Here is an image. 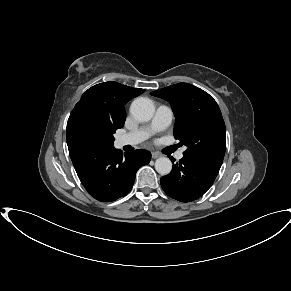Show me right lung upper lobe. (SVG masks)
Returning a JSON list of instances; mask_svg holds the SVG:
<instances>
[{
    "mask_svg": "<svg viewBox=\"0 0 291 291\" xmlns=\"http://www.w3.org/2000/svg\"><path fill=\"white\" fill-rule=\"evenodd\" d=\"M143 92L144 89L132 88L114 81L100 83L82 95L72 113L92 111L124 124L126 118L124 105Z\"/></svg>",
    "mask_w": 291,
    "mask_h": 291,
    "instance_id": "obj_1",
    "label": "right lung upper lobe"
}]
</instances>
